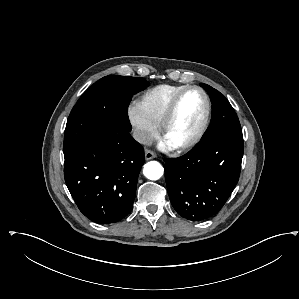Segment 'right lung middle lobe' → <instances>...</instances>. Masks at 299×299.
Here are the masks:
<instances>
[{
  "instance_id": "obj_1",
  "label": "right lung middle lobe",
  "mask_w": 299,
  "mask_h": 299,
  "mask_svg": "<svg viewBox=\"0 0 299 299\" xmlns=\"http://www.w3.org/2000/svg\"><path fill=\"white\" fill-rule=\"evenodd\" d=\"M149 82L143 78L109 75L94 83L73 107L64 133V157L96 137L131 130L128 105Z\"/></svg>"
}]
</instances>
